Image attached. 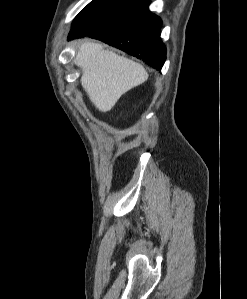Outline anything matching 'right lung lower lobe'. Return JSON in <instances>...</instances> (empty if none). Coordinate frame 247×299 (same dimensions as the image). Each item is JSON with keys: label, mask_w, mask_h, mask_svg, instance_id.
Listing matches in <instances>:
<instances>
[{"label": "right lung lower lobe", "mask_w": 247, "mask_h": 299, "mask_svg": "<svg viewBox=\"0 0 247 299\" xmlns=\"http://www.w3.org/2000/svg\"><path fill=\"white\" fill-rule=\"evenodd\" d=\"M150 0H137L118 20L87 35L68 37L69 40L89 36L142 59L161 70L166 48L160 38L162 21L149 11Z\"/></svg>", "instance_id": "98d812e1"}]
</instances>
